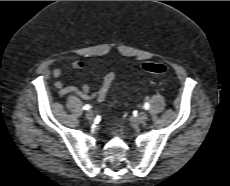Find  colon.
I'll use <instances>...</instances> for the list:
<instances>
[{"label":"colon","mask_w":230,"mask_h":186,"mask_svg":"<svg viewBox=\"0 0 230 186\" xmlns=\"http://www.w3.org/2000/svg\"><path fill=\"white\" fill-rule=\"evenodd\" d=\"M142 69L145 70L146 72L152 73V74H157V75H164L168 72V68L161 63H156V62H145L142 65ZM113 80V75L109 76V81L110 83Z\"/></svg>","instance_id":"colon-1"}]
</instances>
